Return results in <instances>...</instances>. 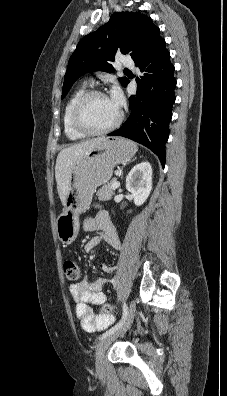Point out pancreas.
<instances>
[{"label": "pancreas", "instance_id": "1", "mask_svg": "<svg viewBox=\"0 0 227 396\" xmlns=\"http://www.w3.org/2000/svg\"><path fill=\"white\" fill-rule=\"evenodd\" d=\"M116 182V179L111 180L108 184L103 185L96 193V196L101 201H108L112 199L114 195L113 184Z\"/></svg>", "mask_w": 227, "mask_h": 396}]
</instances>
